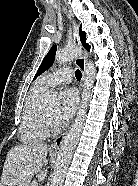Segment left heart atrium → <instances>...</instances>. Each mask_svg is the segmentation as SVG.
<instances>
[{
	"label": "left heart atrium",
	"mask_w": 138,
	"mask_h": 186,
	"mask_svg": "<svg viewBox=\"0 0 138 186\" xmlns=\"http://www.w3.org/2000/svg\"><path fill=\"white\" fill-rule=\"evenodd\" d=\"M78 105L77 92L72 89H66L62 93L61 103L55 113L57 126H65L73 117Z\"/></svg>",
	"instance_id": "left-heart-atrium-1"
}]
</instances>
